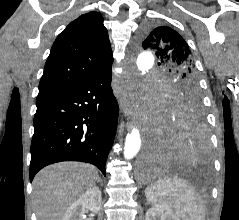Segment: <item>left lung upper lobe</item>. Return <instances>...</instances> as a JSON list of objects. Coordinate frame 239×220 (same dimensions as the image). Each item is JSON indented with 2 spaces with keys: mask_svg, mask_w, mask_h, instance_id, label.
Returning a JSON list of instances; mask_svg holds the SVG:
<instances>
[{
  "mask_svg": "<svg viewBox=\"0 0 239 220\" xmlns=\"http://www.w3.org/2000/svg\"><path fill=\"white\" fill-rule=\"evenodd\" d=\"M144 49L155 51L160 63L174 75L175 81L165 91L163 109L203 111L193 55L189 45L174 29L165 25H147L143 30Z\"/></svg>",
  "mask_w": 239,
  "mask_h": 220,
  "instance_id": "1",
  "label": "left lung upper lobe"
}]
</instances>
